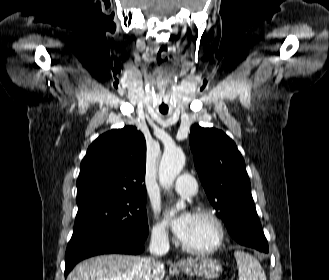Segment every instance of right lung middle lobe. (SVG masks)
Here are the masks:
<instances>
[{
    "label": "right lung middle lobe",
    "instance_id": "1",
    "mask_svg": "<svg viewBox=\"0 0 329 280\" xmlns=\"http://www.w3.org/2000/svg\"><path fill=\"white\" fill-rule=\"evenodd\" d=\"M145 203V196L78 198V212L70 242L100 231L126 238L145 236L148 233Z\"/></svg>",
    "mask_w": 329,
    "mask_h": 280
}]
</instances>
